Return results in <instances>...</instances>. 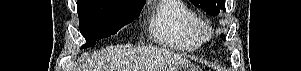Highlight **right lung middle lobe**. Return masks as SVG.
<instances>
[{
  "label": "right lung middle lobe",
  "mask_w": 301,
  "mask_h": 71,
  "mask_svg": "<svg viewBox=\"0 0 301 71\" xmlns=\"http://www.w3.org/2000/svg\"><path fill=\"white\" fill-rule=\"evenodd\" d=\"M145 0H79L80 32L86 39L84 48L96 40L115 35L137 18Z\"/></svg>",
  "instance_id": "1"
}]
</instances>
